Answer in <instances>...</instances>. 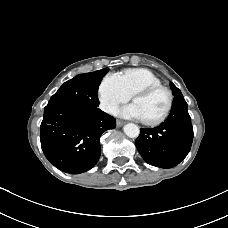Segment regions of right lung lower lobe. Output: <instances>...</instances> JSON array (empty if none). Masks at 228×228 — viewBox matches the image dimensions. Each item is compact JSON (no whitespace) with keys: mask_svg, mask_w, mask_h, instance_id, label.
<instances>
[{"mask_svg":"<svg viewBox=\"0 0 228 228\" xmlns=\"http://www.w3.org/2000/svg\"><path fill=\"white\" fill-rule=\"evenodd\" d=\"M115 126V118L98 108L48 104L41 123V147L56 168L79 174L97 163L101 154L100 137Z\"/></svg>","mask_w":228,"mask_h":228,"instance_id":"98d812e1","label":"right lung lower lobe"}]
</instances>
